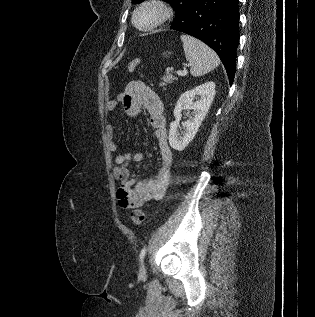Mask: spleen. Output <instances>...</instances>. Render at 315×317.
<instances>
[{
    "instance_id": "1",
    "label": "spleen",
    "mask_w": 315,
    "mask_h": 317,
    "mask_svg": "<svg viewBox=\"0 0 315 317\" xmlns=\"http://www.w3.org/2000/svg\"><path fill=\"white\" fill-rule=\"evenodd\" d=\"M180 38L194 77L205 75L219 65V57L205 43L189 35H181Z\"/></svg>"
}]
</instances>
